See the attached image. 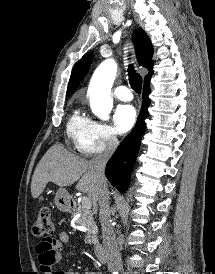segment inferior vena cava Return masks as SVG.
<instances>
[{"instance_id": "1", "label": "inferior vena cava", "mask_w": 215, "mask_h": 274, "mask_svg": "<svg viewBox=\"0 0 215 274\" xmlns=\"http://www.w3.org/2000/svg\"><path fill=\"white\" fill-rule=\"evenodd\" d=\"M118 143L117 137L111 136L106 143L105 150L91 160V165L98 178L99 219L102 228V238L106 253L107 266L110 271L122 270V259L116 235L111 224L109 206L110 196L104 171L106 163L117 148Z\"/></svg>"}]
</instances>
